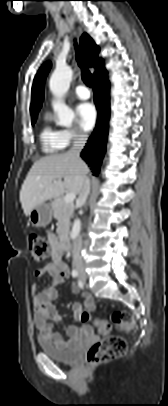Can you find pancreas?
<instances>
[{"label":"pancreas","mask_w":168,"mask_h":406,"mask_svg":"<svg viewBox=\"0 0 168 406\" xmlns=\"http://www.w3.org/2000/svg\"><path fill=\"white\" fill-rule=\"evenodd\" d=\"M52 210L54 218L58 221L57 234L60 239H63L69 232L70 219L73 215L74 205L72 203H65L63 198H56L52 202Z\"/></svg>","instance_id":"obj_1"}]
</instances>
